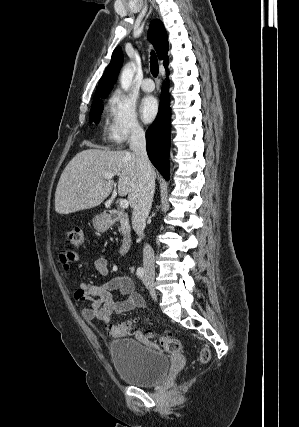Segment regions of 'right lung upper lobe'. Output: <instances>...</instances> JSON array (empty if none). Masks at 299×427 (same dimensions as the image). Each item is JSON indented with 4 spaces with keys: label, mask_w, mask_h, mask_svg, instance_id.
<instances>
[{
    "label": "right lung upper lobe",
    "mask_w": 299,
    "mask_h": 427,
    "mask_svg": "<svg viewBox=\"0 0 299 427\" xmlns=\"http://www.w3.org/2000/svg\"><path fill=\"white\" fill-rule=\"evenodd\" d=\"M148 36L150 41L153 43L159 59H164V66L167 69L168 66V38L166 30L162 22L155 19L151 22ZM123 63V53L121 48H116L113 51L110 64L107 66L103 76L99 81V85L95 92V98L107 96L111 91L113 85L117 80L118 73Z\"/></svg>",
    "instance_id": "1"
}]
</instances>
